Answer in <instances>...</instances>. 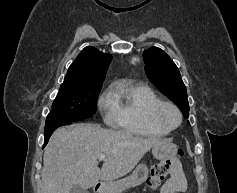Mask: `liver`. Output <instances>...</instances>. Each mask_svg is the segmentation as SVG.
<instances>
[{"label": "liver", "mask_w": 237, "mask_h": 193, "mask_svg": "<svg viewBox=\"0 0 237 193\" xmlns=\"http://www.w3.org/2000/svg\"><path fill=\"white\" fill-rule=\"evenodd\" d=\"M164 140L144 138L78 123L58 128L43 156L42 193H69L74 185L88 189L128 174L153 146ZM106 155L102 168L100 155Z\"/></svg>", "instance_id": "1"}]
</instances>
